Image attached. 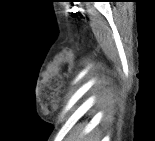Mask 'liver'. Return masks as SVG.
Wrapping results in <instances>:
<instances>
[{"instance_id":"obj_1","label":"liver","mask_w":155,"mask_h":141,"mask_svg":"<svg viewBox=\"0 0 155 141\" xmlns=\"http://www.w3.org/2000/svg\"><path fill=\"white\" fill-rule=\"evenodd\" d=\"M78 138H79V131H77L76 134L70 136L69 141H75V139H78ZM97 139H99V138H97V137H89L85 141H97Z\"/></svg>"}]
</instances>
